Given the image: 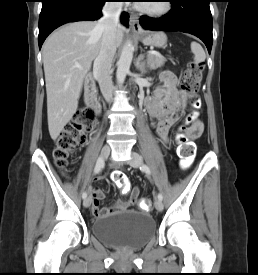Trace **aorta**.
<instances>
[{
    "instance_id": "762f6f07",
    "label": "aorta",
    "mask_w": 258,
    "mask_h": 275,
    "mask_svg": "<svg viewBox=\"0 0 258 275\" xmlns=\"http://www.w3.org/2000/svg\"><path fill=\"white\" fill-rule=\"evenodd\" d=\"M133 58V46L131 43H128L124 46L121 56L118 61V67L116 71V78L118 83H123L126 75L130 69V65Z\"/></svg>"
}]
</instances>
